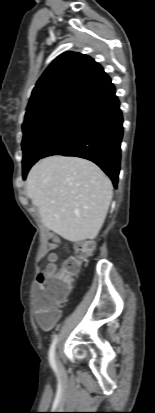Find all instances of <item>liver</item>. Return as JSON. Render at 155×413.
<instances>
[{"instance_id": "1", "label": "liver", "mask_w": 155, "mask_h": 413, "mask_svg": "<svg viewBox=\"0 0 155 413\" xmlns=\"http://www.w3.org/2000/svg\"><path fill=\"white\" fill-rule=\"evenodd\" d=\"M27 196L41 221L71 242L95 239L112 197L110 179L94 163L68 156L38 161L27 177Z\"/></svg>"}]
</instances>
